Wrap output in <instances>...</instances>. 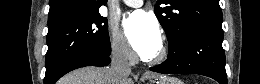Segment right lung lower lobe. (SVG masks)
<instances>
[{
    "instance_id": "98d812e1",
    "label": "right lung lower lobe",
    "mask_w": 260,
    "mask_h": 84,
    "mask_svg": "<svg viewBox=\"0 0 260 84\" xmlns=\"http://www.w3.org/2000/svg\"><path fill=\"white\" fill-rule=\"evenodd\" d=\"M111 62L109 56L86 53L76 55L64 61L52 74L45 75L44 84H55L66 73L85 66H107Z\"/></svg>"
}]
</instances>
